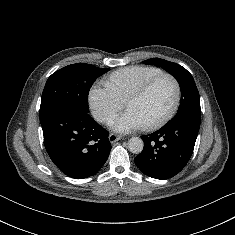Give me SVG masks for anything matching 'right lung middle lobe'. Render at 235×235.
Instances as JSON below:
<instances>
[{"mask_svg":"<svg viewBox=\"0 0 235 235\" xmlns=\"http://www.w3.org/2000/svg\"><path fill=\"white\" fill-rule=\"evenodd\" d=\"M108 71L94 65L77 63L53 73L42 93L40 118L63 106L88 112L89 90L94 81Z\"/></svg>","mask_w":235,"mask_h":235,"instance_id":"dd1d6c3e","label":"right lung middle lobe"}]
</instances>
